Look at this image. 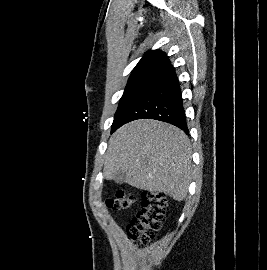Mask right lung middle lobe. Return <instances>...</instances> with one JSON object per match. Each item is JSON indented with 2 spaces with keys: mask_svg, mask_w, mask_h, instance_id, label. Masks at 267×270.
Returning <instances> with one entry per match:
<instances>
[{
  "mask_svg": "<svg viewBox=\"0 0 267 270\" xmlns=\"http://www.w3.org/2000/svg\"><path fill=\"white\" fill-rule=\"evenodd\" d=\"M154 78V75H146L128 81L125 91L120 99L118 109L115 113L111 132H114L122 126L126 114L146 91Z\"/></svg>",
  "mask_w": 267,
  "mask_h": 270,
  "instance_id": "dd1d6c3e",
  "label": "right lung middle lobe"
}]
</instances>
